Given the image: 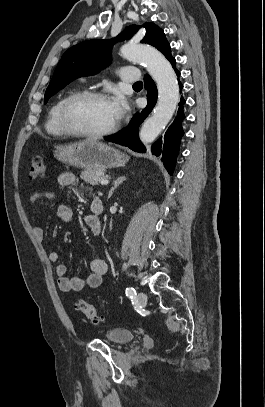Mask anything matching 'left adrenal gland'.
I'll use <instances>...</instances> for the list:
<instances>
[{
  "label": "left adrenal gland",
  "mask_w": 265,
  "mask_h": 407,
  "mask_svg": "<svg viewBox=\"0 0 265 407\" xmlns=\"http://www.w3.org/2000/svg\"><path fill=\"white\" fill-rule=\"evenodd\" d=\"M126 180V177L125 176H120V177H118L115 181H114V186L111 188V190L109 191V195H108V198H111V196H112V194H113V192H114V190L120 185V184H122V182L123 181H125Z\"/></svg>",
  "instance_id": "a2214340"
}]
</instances>
